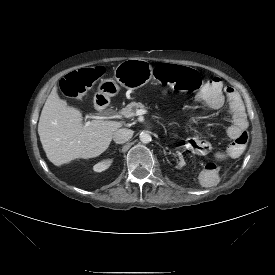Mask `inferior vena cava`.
I'll list each match as a JSON object with an SVG mask.
<instances>
[{"mask_svg": "<svg viewBox=\"0 0 275 275\" xmlns=\"http://www.w3.org/2000/svg\"><path fill=\"white\" fill-rule=\"evenodd\" d=\"M133 136V131L127 128H121L113 133V140L117 144H122L130 140Z\"/></svg>", "mask_w": 275, "mask_h": 275, "instance_id": "obj_1", "label": "inferior vena cava"}]
</instances>
